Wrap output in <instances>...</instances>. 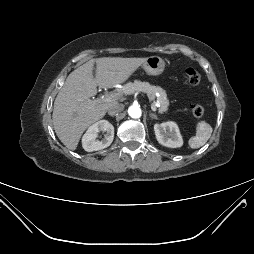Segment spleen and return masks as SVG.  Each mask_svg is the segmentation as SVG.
<instances>
[{
  "label": "spleen",
  "mask_w": 254,
  "mask_h": 254,
  "mask_svg": "<svg viewBox=\"0 0 254 254\" xmlns=\"http://www.w3.org/2000/svg\"><path fill=\"white\" fill-rule=\"evenodd\" d=\"M212 127L205 121H200L196 127V135L189 139V146L197 149L206 144L212 134Z\"/></svg>",
  "instance_id": "spleen-1"
}]
</instances>
